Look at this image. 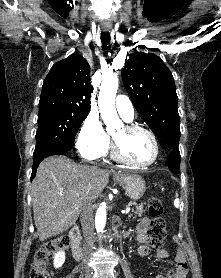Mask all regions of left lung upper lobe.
<instances>
[{"instance_id": "obj_1", "label": "left lung upper lobe", "mask_w": 221, "mask_h": 278, "mask_svg": "<svg viewBox=\"0 0 221 278\" xmlns=\"http://www.w3.org/2000/svg\"><path fill=\"white\" fill-rule=\"evenodd\" d=\"M121 72L135 109L160 145L168 151L178 149L181 133L176 88L170 70L160 57L136 52L130 55Z\"/></svg>"}]
</instances>
